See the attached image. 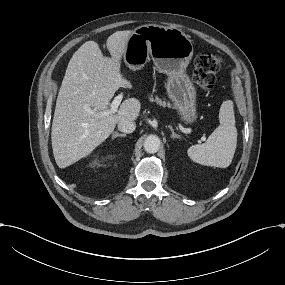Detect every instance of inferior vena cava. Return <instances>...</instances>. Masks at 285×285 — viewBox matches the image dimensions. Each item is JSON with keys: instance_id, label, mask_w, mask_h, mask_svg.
<instances>
[{"instance_id": "602c4592", "label": "inferior vena cava", "mask_w": 285, "mask_h": 285, "mask_svg": "<svg viewBox=\"0 0 285 285\" xmlns=\"http://www.w3.org/2000/svg\"><path fill=\"white\" fill-rule=\"evenodd\" d=\"M117 127H118V130L121 132L132 133L135 130L136 125L134 121L123 119L118 122Z\"/></svg>"}]
</instances>
